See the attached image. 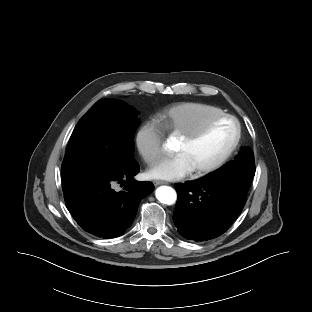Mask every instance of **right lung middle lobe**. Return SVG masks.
<instances>
[{
  "mask_svg": "<svg viewBox=\"0 0 312 312\" xmlns=\"http://www.w3.org/2000/svg\"><path fill=\"white\" fill-rule=\"evenodd\" d=\"M136 114L124 101L106 98L84 114L70 137L61 166L64 193L121 171L135 161Z\"/></svg>",
  "mask_w": 312,
  "mask_h": 312,
  "instance_id": "1",
  "label": "right lung middle lobe"
}]
</instances>
